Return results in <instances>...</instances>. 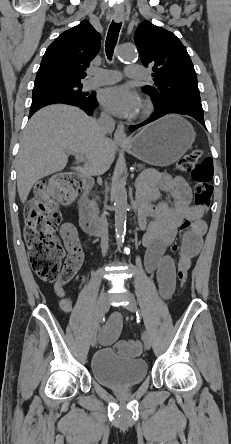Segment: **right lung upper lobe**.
Segmentation results:
<instances>
[{"instance_id": "obj_1", "label": "right lung upper lobe", "mask_w": 231, "mask_h": 444, "mask_svg": "<svg viewBox=\"0 0 231 444\" xmlns=\"http://www.w3.org/2000/svg\"><path fill=\"white\" fill-rule=\"evenodd\" d=\"M101 43L100 34L87 20L64 31L47 48L36 75L34 89L58 83H81Z\"/></svg>"}]
</instances>
